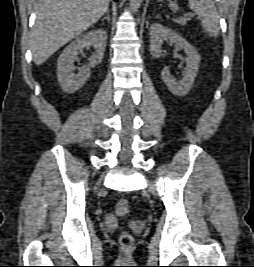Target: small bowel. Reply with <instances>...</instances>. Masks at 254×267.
<instances>
[{"mask_svg":"<svg viewBox=\"0 0 254 267\" xmlns=\"http://www.w3.org/2000/svg\"><path fill=\"white\" fill-rule=\"evenodd\" d=\"M107 221H108L109 223H114V222H115V218H114V216H113V215H108V216H107Z\"/></svg>","mask_w":254,"mask_h":267,"instance_id":"c3829d8e","label":"small bowel"}]
</instances>
